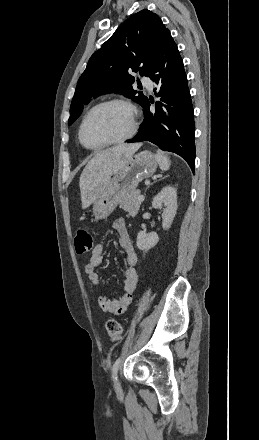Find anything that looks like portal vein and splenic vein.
<instances>
[{
	"label": "portal vein and splenic vein",
	"instance_id": "obj_1",
	"mask_svg": "<svg viewBox=\"0 0 259 440\" xmlns=\"http://www.w3.org/2000/svg\"><path fill=\"white\" fill-rule=\"evenodd\" d=\"M138 201L143 202V201H144V196H143V195H139V196H138Z\"/></svg>",
	"mask_w": 259,
	"mask_h": 440
}]
</instances>
